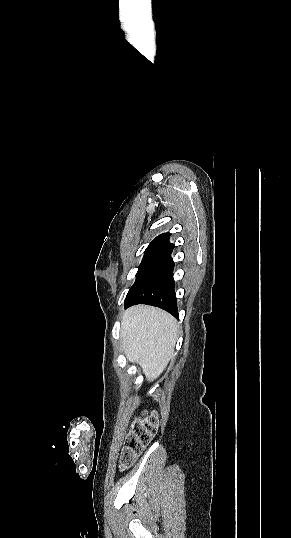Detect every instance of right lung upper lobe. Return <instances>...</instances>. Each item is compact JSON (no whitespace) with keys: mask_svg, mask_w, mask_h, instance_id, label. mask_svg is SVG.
Returning <instances> with one entry per match:
<instances>
[{"mask_svg":"<svg viewBox=\"0 0 291 538\" xmlns=\"http://www.w3.org/2000/svg\"><path fill=\"white\" fill-rule=\"evenodd\" d=\"M169 233H163L159 236H157L147 247L146 250L150 249H166V250H172L174 248V244H171L169 242Z\"/></svg>","mask_w":291,"mask_h":538,"instance_id":"right-lung-upper-lobe-1","label":"right lung upper lobe"}]
</instances>
